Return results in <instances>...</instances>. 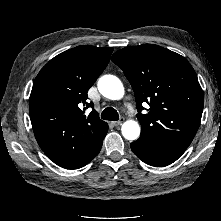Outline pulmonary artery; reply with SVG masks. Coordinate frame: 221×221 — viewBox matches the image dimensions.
<instances>
[{"mask_svg": "<svg viewBox=\"0 0 221 221\" xmlns=\"http://www.w3.org/2000/svg\"><path fill=\"white\" fill-rule=\"evenodd\" d=\"M127 107L130 108L131 106L128 104Z\"/></svg>", "mask_w": 221, "mask_h": 221, "instance_id": "1", "label": "pulmonary artery"}]
</instances>
